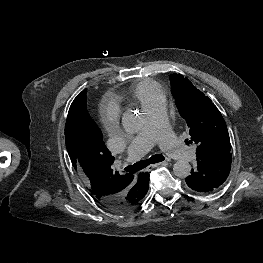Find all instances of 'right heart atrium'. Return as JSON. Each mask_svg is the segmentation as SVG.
Listing matches in <instances>:
<instances>
[{
  "label": "right heart atrium",
  "mask_w": 263,
  "mask_h": 263,
  "mask_svg": "<svg viewBox=\"0 0 263 263\" xmlns=\"http://www.w3.org/2000/svg\"><path fill=\"white\" fill-rule=\"evenodd\" d=\"M101 115L108 130L112 132L114 130V122L118 115V109L112 102H105L101 105Z\"/></svg>",
  "instance_id": "d8ad5b80"
}]
</instances>
